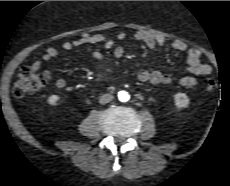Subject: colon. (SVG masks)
<instances>
[{
  "mask_svg": "<svg viewBox=\"0 0 230 186\" xmlns=\"http://www.w3.org/2000/svg\"><path fill=\"white\" fill-rule=\"evenodd\" d=\"M49 78L47 71L34 70L31 67L23 68L16 76L12 88L13 94L20 98L37 92L46 86ZM216 87L217 82L214 79L209 78L206 80V90L213 91Z\"/></svg>",
  "mask_w": 230,
  "mask_h": 186,
  "instance_id": "5ec220e1",
  "label": "colon"
}]
</instances>
